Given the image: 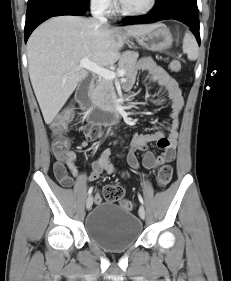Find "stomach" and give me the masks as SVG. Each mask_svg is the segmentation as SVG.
Wrapping results in <instances>:
<instances>
[{
	"label": "stomach",
	"mask_w": 231,
	"mask_h": 281,
	"mask_svg": "<svg viewBox=\"0 0 231 281\" xmlns=\"http://www.w3.org/2000/svg\"><path fill=\"white\" fill-rule=\"evenodd\" d=\"M136 41L150 51H164L171 47L173 37L170 30L162 24H158L153 30L135 37Z\"/></svg>",
	"instance_id": "1"
}]
</instances>
